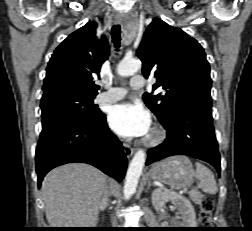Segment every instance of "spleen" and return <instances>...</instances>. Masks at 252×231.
I'll return each mask as SVG.
<instances>
[{"label": "spleen", "mask_w": 252, "mask_h": 231, "mask_svg": "<svg viewBox=\"0 0 252 231\" xmlns=\"http://www.w3.org/2000/svg\"><path fill=\"white\" fill-rule=\"evenodd\" d=\"M195 177L199 181L203 192L208 194L217 193L218 188L213 173L199 162L196 163Z\"/></svg>", "instance_id": "1"}]
</instances>
